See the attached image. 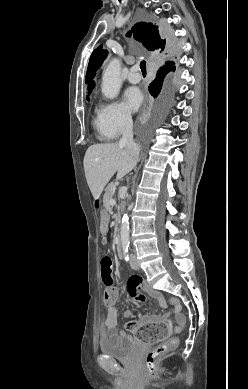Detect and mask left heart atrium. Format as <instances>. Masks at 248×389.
Listing matches in <instances>:
<instances>
[{"instance_id": "39dd6f15", "label": "left heart atrium", "mask_w": 248, "mask_h": 389, "mask_svg": "<svg viewBox=\"0 0 248 389\" xmlns=\"http://www.w3.org/2000/svg\"><path fill=\"white\" fill-rule=\"evenodd\" d=\"M123 98L126 107L131 111L137 110L142 103V95L136 88H128L124 92Z\"/></svg>"}]
</instances>
